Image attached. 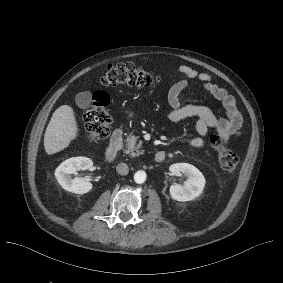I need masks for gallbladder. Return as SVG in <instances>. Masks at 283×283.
Instances as JSON below:
<instances>
[{
	"mask_svg": "<svg viewBox=\"0 0 283 283\" xmlns=\"http://www.w3.org/2000/svg\"><path fill=\"white\" fill-rule=\"evenodd\" d=\"M75 101L78 107L82 109L88 108L91 102V92L85 91V92L78 93L76 95Z\"/></svg>",
	"mask_w": 283,
	"mask_h": 283,
	"instance_id": "obj_1",
	"label": "gallbladder"
}]
</instances>
